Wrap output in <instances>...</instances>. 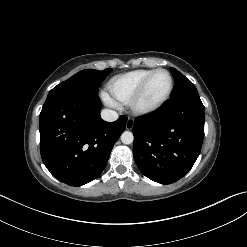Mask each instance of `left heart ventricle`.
Segmentation results:
<instances>
[{"instance_id":"obj_1","label":"left heart ventricle","mask_w":247,"mask_h":247,"mask_svg":"<svg viewBox=\"0 0 247 247\" xmlns=\"http://www.w3.org/2000/svg\"><path fill=\"white\" fill-rule=\"evenodd\" d=\"M169 78L163 73H157L150 81L147 90L141 100L142 105H151L158 102L167 92Z\"/></svg>"}]
</instances>
